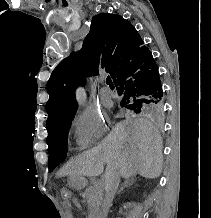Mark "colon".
I'll return each mask as SVG.
<instances>
[{
	"label": "colon",
	"instance_id": "1",
	"mask_svg": "<svg viewBox=\"0 0 211 218\" xmlns=\"http://www.w3.org/2000/svg\"><path fill=\"white\" fill-rule=\"evenodd\" d=\"M60 195L64 200H69L71 198V190L67 187H62L60 189Z\"/></svg>",
	"mask_w": 211,
	"mask_h": 218
}]
</instances>
